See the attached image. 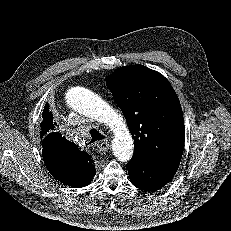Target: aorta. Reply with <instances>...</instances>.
I'll return each mask as SVG.
<instances>
[{
	"label": "aorta",
	"mask_w": 231,
	"mask_h": 231,
	"mask_svg": "<svg viewBox=\"0 0 231 231\" xmlns=\"http://www.w3.org/2000/svg\"><path fill=\"white\" fill-rule=\"evenodd\" d=\"M67 104L75 111L106 125L113 133L112 150L122 162L129 161L134 153V141L124 118L94 92L80 86L66 93Z\"/></svg>",
	"instance_id": "762f6f07"
}]
</instances>
